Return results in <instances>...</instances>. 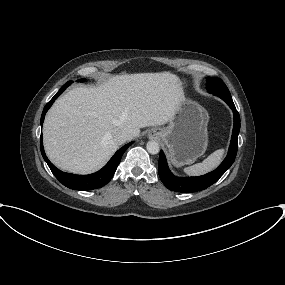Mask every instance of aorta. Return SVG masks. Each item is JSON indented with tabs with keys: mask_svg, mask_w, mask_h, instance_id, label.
<instances>
[{
	"mask_svg": "<svg viewBox=\"0 0 285 285\" xmlns=\"http://www.w3.org/2000/svg\"><path fill=\"white\" fill-rule=\"evenodd\" d=\"M146 148H147V151L153 155L157 154L160 150L159 143L154 140L148 141Z\"/></svg>",
	"mask_w": 285,
	"mask_h": 285,
	"instance_id": "1",
	"label": "aorta"
}]
</instances>
